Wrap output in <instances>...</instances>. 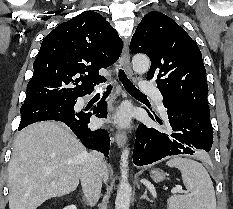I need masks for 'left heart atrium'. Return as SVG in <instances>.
Wrapping results in <instances>:
<instances>
[{
	"label": "left heart atrium",
	"instance_id": "1",
	"mask_svg": "<svg viewBox=\"0 0 233 209\" xmlns=\"http://www.w3.org/2000/svg\"><path fill=\"white\" fill-rule=\"evenodd\" d=\"M128 118H129V114L127 110L120 111L116 116L117 121H119L120 123L127 122Z\"/></svg>",
	"mask_w": 233,
	"mask_h": 209
}]
</instances>
